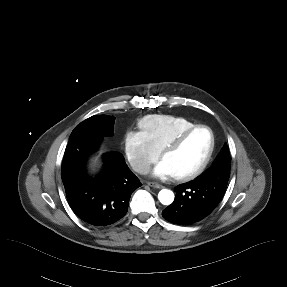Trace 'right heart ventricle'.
<instances>
[{
  "instance_id": "right-heart-ventricle-1",
  "label": "right heart ventricle",
  "mask_w": 287,
  "mask_h": 287,
  "mask_svg": "<svg viewBox=\"0 0 287 287\" xmlns=\"http://www.w3.org/2000/svg\"><path fill=\"white\" fill-rule=\"evenodd\" d=\"M194 125L187 117L170 114L147 115L139 121L142 133L157 151H161L180 132Z\"/></svg>"
}]
</instances>
